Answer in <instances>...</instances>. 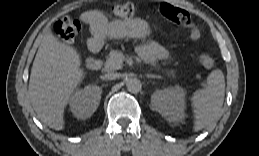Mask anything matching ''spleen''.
Segmentation results:
<instances>
[{
	"mask_svg": "<svg viewBox=\"0 0 259 156\" xmlns=\"http://www.w3.org/2000/svg\"><path fill=\"white\" fill-rule=\"evenodd\" d=\"M225 96V77L220 69L213 70L207 77V87L194 92L191 106L194 113V130L208 126L219 114Z\"/></svg>",
	"mask_w": 259,
	"mask_h": 156,
	"instance_id": "1",
	"label": "spleen"
}]
</instances>
